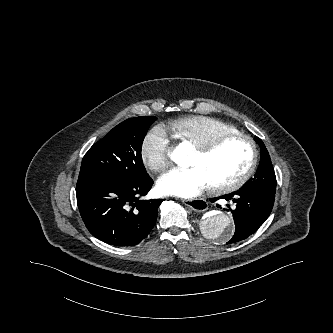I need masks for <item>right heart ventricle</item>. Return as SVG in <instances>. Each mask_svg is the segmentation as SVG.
<instances>
[{
  "label": "right heart ventricle",
  "mask_w": 333,
  "mask_h": 333,
  "mask_svg": "<svg viewBox=\"0 0 333 333\" xmlns=\"http://www.w3.org/2000/svg\"><path fill=\"white\" fill-rule=\"evenodd\" d=\"M168 129L176 140L188 142L193 146L221 134L238 132L225 122L201 115H190L171 120L168 123Z\"/></svg>",
  "instance_id": "e07e8e85"
}]
</instances>
